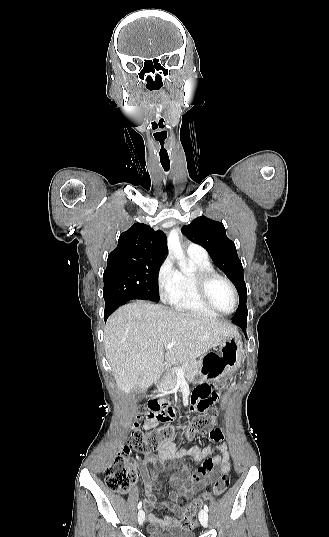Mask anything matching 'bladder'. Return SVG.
<instances>
[{
	"label": "bladder",
	"instance_id": "1",
	"mask_svg": "<svg viewBox=\"0 0 329 537\" xmlns=\"http://www.w3.org/2000/svg\"><path fill=\"white\" fill-rule=\"evenodd\" d=\"M148 537H196V536H195V533L191 531H188V532L168 531V532L150 533Z\"/></svg>",
	"mask_w": 329,
	"mask_h": 537
}]
</instances>
